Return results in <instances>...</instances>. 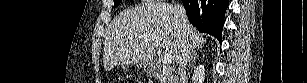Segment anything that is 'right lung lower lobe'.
<instances>
[{
	"mask_svg": "<svg viewBox=\"0 0 307 83\" xmlns=\"http://www.w3.org/2000/svg\"><path fill=\"white\" fill-rule=\"evenodd\" d=\"M189 21L200 32L215 36L220 42L228 0H182Z\"/></svg>",
	"mask_w": 307,
	"mask_h": 83,
	"instance_id": "right-lung-lower-lobe-1",
	"label": "right lung lower lobe"
}]
</instances>
